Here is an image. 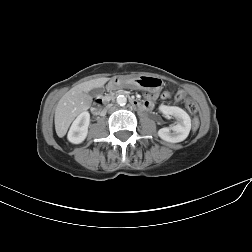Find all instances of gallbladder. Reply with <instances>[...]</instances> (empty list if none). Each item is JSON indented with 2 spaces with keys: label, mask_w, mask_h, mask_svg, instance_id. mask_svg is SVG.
I'll return each mask as SVG.
<instances>
[{
  "label": "gallbladder",
  "mask_w": 252,
  "mask_h": 252,
  "mask_svg": "<svg viewBox=\"0 0 252 252\" xmlns=\"http://www.w3.org/2000/svg\"><path fill=\"white\" fill-rule=\"evenodd\" d=\"M103 92H104V88L99 87V88H94V89L90 90L88 94L91 97H97L98 95H101Z\"/></svg>",
  "instance_id": "bac80fb5"
}]
</instances>
